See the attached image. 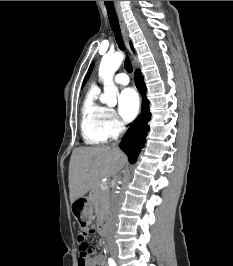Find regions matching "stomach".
Segmentation results:
<instances>
[{
	"label": "stomach",
	"instance_id": "stomach-1",
	"mask_svg": "<svg viewBox=\"0 0 233 266\" xmlns=\"http://www.w3.org/2000/svg\"><path fill=\"white\" fill-rule=\"evenodd\" d=\"M72 205L75 221H77L76 232H87V228L93 227V220L90 209L92 208L91 199L86 196H78Z\"/></svg>",
	"mask_w": 233,
	"mask_h": 266
}]
</instances>
